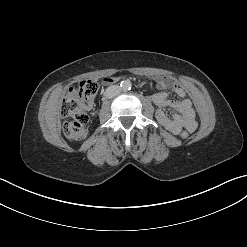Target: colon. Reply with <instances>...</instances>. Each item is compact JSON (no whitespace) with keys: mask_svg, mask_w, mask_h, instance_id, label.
Wrapping results in <instances>:
<instances>
[{"mask_svg":"<svg viewBox=\"0 0 247 247\" xmlns=\"http://www.w3.org/2000/svg\"><path fill=\"white\" fill-rule=\"evenodd\" d=\"M98 89L99 84L95 79L83 80L77 87H71L63 98L60 112L64 119L65 135L70 141H81L86 138L88 116L84 110L83 102L93 98ZM189 135L188 130H183L180 134L182 139H187Z\"/></svg>","mask_w":247,"mask_h":247,"instance_id":"obj_1","label":"colon"}]
</instances>
